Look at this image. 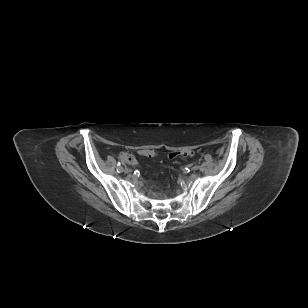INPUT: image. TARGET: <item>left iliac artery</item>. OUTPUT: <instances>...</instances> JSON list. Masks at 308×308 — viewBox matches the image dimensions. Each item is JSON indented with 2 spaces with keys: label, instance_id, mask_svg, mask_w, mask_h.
I'll use <instances>...</instances> for the list:
<instances>
[{
  "label": "left iliac artery",
  "instance_id": "obj_1",
  "mask_svg": "<svg viewBox=\"0 0 308 308\" xmlns=\"http://www.w3.org/2000/svg\"><path fill=\"white\" fill-rule=\"evenodd\" d=\"M204 160H205V161H211V156H205V157H204Z\"/></svg>",
  "mask_w": 308,
  "mask_h": 308
}]
</instances>
